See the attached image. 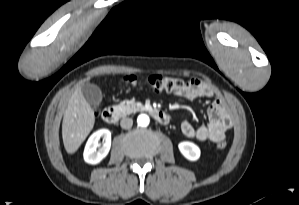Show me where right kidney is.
<instances>
[{"label":"right kidney","instance_id":"1","mask_svg":"<svg viewBox=\"0 0 299 205\" xmlns=\"http://www.w3.org/2000/svg\"><path fill=\"white\" fill-rule=\"evenodd\" d=\"M100 138L103 139L102 145L99 144ZM111 147V132L108 129H100L94 132L88 139L83 157L89 164H98L108 154Z\"/></svg>","mask_w":299,"mask_h":205}]
</instances>
